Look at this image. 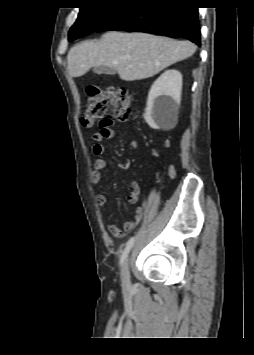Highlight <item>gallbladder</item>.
I'll return each mask as SVG.
<instances>
[{"label":"gallbladder","mask_w":254,"mask_h":355,"mask_svg":"<svg viewBox=\"0 0 254 355\" xmlns=\"http://www.w3.org/2000/svg\"><path fill=\"white\" fill-rule=\"evenodd\" d=\"M93 72L96 74H102V73H106V74H113L116 72L115 68H111V67H107V66H97L93 69Z\"/></svg>","instance_id":"obj_1"}]
</instances>
